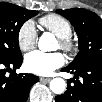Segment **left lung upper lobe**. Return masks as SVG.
Segmentation results:
<instances>
[{"label": "left lung upper lobe", "mask_w": 102, "mask_h": 102, "mask_svg": "<svg viewBox=\"0 0 102 102\" xmlns=\"http://www.w3.org/2000/svg\"><path fill=\"white\" fill-rule=\"evenodd\" d=\"M57 12L71 22L79 39L80 51L68 66L102 63V19L97 14L82 8L57 10Z\"/></svg>", "instance_id": "5c2ea615"}]
</instances>
